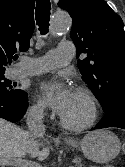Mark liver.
<instances>
[{
    "instance_id": "6515ba94",
    "label": "liver",
    "mask_w": 125,
    "mask_h": 167,
    "mask_svg": "<svg viewBox=\"0 0 125 167\" xmlns=\"http://www.w3.org/2000/svg\"><path fill=\"white\" fill-rule=\"evenodd\" d=\"M42 136L22 130L15 124L0 118V159L20 158L27 154L38 160L49 156V149L40 150Z\"/></svg>"
}]
</instances>
